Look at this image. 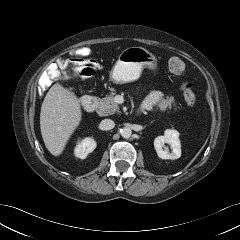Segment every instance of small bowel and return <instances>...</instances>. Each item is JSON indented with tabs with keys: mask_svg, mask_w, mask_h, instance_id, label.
<instances>
[{
	"mask_svg": "<svg viewBox=\"0 0 240 240\" xmlns=\"http://www.w3.org/2000/svg\"><path fill=\"white\" fill-rule=\"evenodd\" d=\"M96 67L100 68L99 63L95 62ZM61 69L56 61L49 64L45 71V76L47 79L50 80H56L61 78ZM163 99V94L159 91H152L148 96L144 99V101L141 104V109L148 111L153 109L157 104L161 102Z\"/></svg>",
	"mask_w": 240,
	"mask_h": 240,
	"instance_id": "small-bowel-1",
	"label": "small bowel"
}]
</instances>
